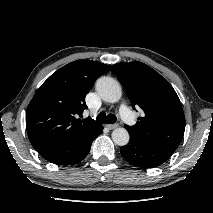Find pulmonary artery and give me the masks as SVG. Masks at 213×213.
Masks as SVG:
<instances>
[{
  "instance_id": "e3ab8cb5",
  "label": "pulmonary artery",
  "mask_w": 213,
  "mask_h": 213,
  "mask_svg": "<svg viewBox=\"0 0 213 213\" xmlns=\"http://www.w3.org/2000/svg\"><path fill=\"white\" fill-rule=\"evenodd\" d=\"M120 116L124 122L131 125L134 122L133 115L126 105L120 107Z\"/></svg>"
}]
</instances>
